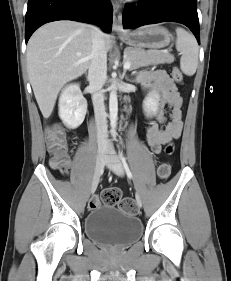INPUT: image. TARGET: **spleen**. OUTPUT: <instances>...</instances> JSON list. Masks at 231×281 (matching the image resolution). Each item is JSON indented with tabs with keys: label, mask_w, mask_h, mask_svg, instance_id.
Instances as JSON below:
<instances>
[{
	"label": "spleen",
	"mask_w": 231,
	"mask_h": 281,
	"mask_svg": "<svg viewBox=\"0 0 231 281\" xmlns=\"http://www.w3.org/2000/svg\"><path fill=\"white\" fill-rule=\"evenodd\" d=\"M176 33V49L182 54L180 69L185 75L192 76L198 66L199 48L197 41L192 34L181 27L176 29Z\"/></svg>",
	"instance_id": "1"
}]
</instances>
